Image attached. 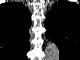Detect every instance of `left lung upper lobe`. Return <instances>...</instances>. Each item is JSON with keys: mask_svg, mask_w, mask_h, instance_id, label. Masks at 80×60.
<instances>
[{"mask_svg": "<svg viewBox=\"0 0 80 60\" xmlns=\"http://www.w3.org/2000/svg\"><path fill=\"white\" fill-rule=\"evenodd\" d=\"M75 14H79L75 16ZM80 10L76 5L59 1L50 10L45 21L46 36L57 43L60 56L70 54L72 49L80 47V35L75 27L79 20ZM64 55V56H65Z\"/></svg>", "mask_w": 80, "mask_h": 60, "instance_id": "5c2ea615", "label": "left lung upper lobe"}]
</instances>
